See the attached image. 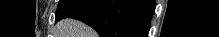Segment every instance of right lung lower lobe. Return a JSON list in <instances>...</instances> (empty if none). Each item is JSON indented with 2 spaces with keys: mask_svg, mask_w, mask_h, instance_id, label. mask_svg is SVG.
Listing matches in <instances>:
<instances>
[{
  "mask_svg": "<svg viewBox=\"0 0 219 37\" xmlns=\"http://www.w3.org/2000/svg\"><path fill=\"white\" fill-rule=\"evenodd\" d=\"M154 9L155 0H73L56 21L80 20L100 37H146Z\"/></svg>",
  "mask_w": 219,
  "mask_h": 37,
  "instance_id": "obj_1",
  "label": "right lung lower lobe"
}]
</instances>
